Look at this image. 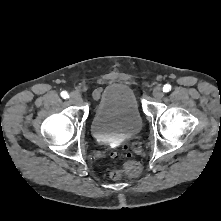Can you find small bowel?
<instances>
[{"mask_svg": "<svg viewBox=\"0 0 221 221\" xmlns=\"http://www.w3.org/2000/svg\"><path fill=\"white\" fill-rule=\"evenodd\" d=\"M100 95V89H96L94 92V96L97 98Z\"/></svg>", "mask_w": 221, "mask_h": 221, "instance_id": "obj_1", "label": "small bowel"}]
</instances>
